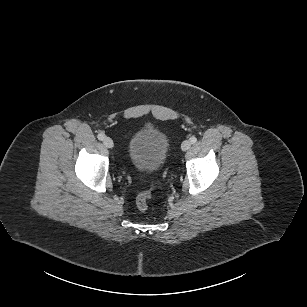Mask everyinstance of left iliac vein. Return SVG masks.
<instances>
[{
  "instance_id": "left-iliac-vein-1",
  "label": "left iliac vein",
  "mask_w": 307,
  "mask_h": 307,
  "mask_svg": "<svg viewBox=\"0 0 307 307\" xmlns=\"http://www.w3.org/2000/svg\"><path fill=\"white\" fill-rule=\"evenodd\" d=\"M190 147H191V142L189 140H185L181 145V149L183 151H187Z\"/></svg>"
}]
</instances>
